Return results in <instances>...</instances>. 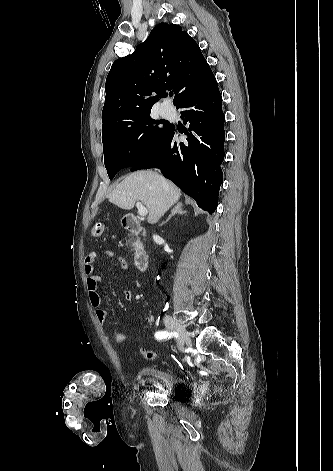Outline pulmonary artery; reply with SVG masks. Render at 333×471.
Segmentation results:
<instances>
[{
	"mask_svg": "<svg viewBox=\"0 0 333 471\" xmlns=\"http://www.w3.org/2000/svg\"><path fill=\"white\" fill-rule=\"evenodd\" d=\"M161 112L163 115L167 116L172 113V108L169 106H162Z\"/></svg>",
	"mask_w": 333,
	"mask_h": 471,
	"instance_id": "e3ab8cb5",
	"label": "pulmonary artery"
}]
</instances>
